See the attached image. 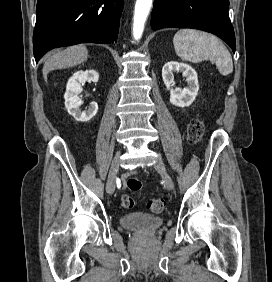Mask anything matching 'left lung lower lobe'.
Returning <instances> with one entry per match:
<instances>
[{
	"instance_id": "0a47b994",
	"label": "left lung lower lobe",
	"mask_w": 272,
	"mask_h": 282,
	"mask_svg": "<svg viewBox=\"0 0 272 282\" xmlns=\"http://www.w3.org/2000/svg\"><path fill=\"white\" fill-rule=\"evenodd\" d=\"M229 0H155L151 16L154 30L195 28L223 39L235 52V34L228 15Z\"/></svg>"
}]
</instances>
